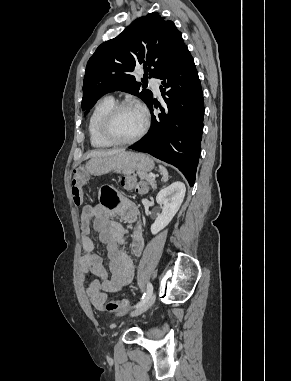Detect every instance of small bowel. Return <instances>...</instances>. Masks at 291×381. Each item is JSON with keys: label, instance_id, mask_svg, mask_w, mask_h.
Here are the masks:
<instances>
[{"label": "small bowel", "instance_id": "small-bowel-1", "mask_svg": "<svg viewBox=\"0 0 291 381\" xmlns=\"http://www.w3.org/2000/svg\"><path fill=\"white\" fill-rule=\"evenodd\" d=\"M116 193L111 188L101 192V202L96 205H86L81 212V244L84 255L79 260L83 278L91 276L86 293L92 306L103 310L108 294L117 292L129 285L134 276V263L123 250L127 230L111 219L119 215L128 223L131 233V251L140 256L144 248L141 233L139 211L127 198H122L119 204L106 205L103 199H115ZM91 224L99 234V240L107 246L108 270L104 267L101 257L94 252L95 244L90 236Z\"/></svg>", "mask_w": 291, "mask_h": 381}]
</instances>
